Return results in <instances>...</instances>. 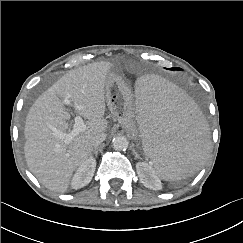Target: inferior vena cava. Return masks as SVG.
<instances>
[{
    "label": "inferior vena cava",
    "mask_w": 243,
    "mask_h": 243,
    "mask_svg": "<svg viewBox=\"0 0 243 243\" xmlns=\"http://www.w3.org/2000/svg\"><path fill=\"white\" fill-rule=\"evenodd\" d=\"M106 139L105 133H98L91 138V143L93 146L97 147Z\"/></svg>",
    "instance_id": "602c4592"
}]
</instances>
